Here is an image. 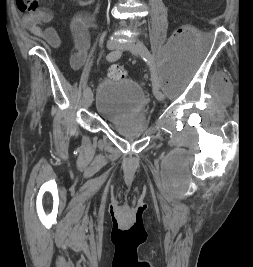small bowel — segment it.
Returning a JSON list of instances; mask_svg holds the SVG:
<instances>
[{
    "instance_id": "obj_1",
    "label": "small bowel",
    "mask_w": 253,
    "mask_h": 267,
    "mask_svg": "<svg viewBox=\"0 0 253 267\" xmlns=\"http://www.w3.org/2000/svg\"><path fill=\"white\" fill-rule=\"evenodd\" d=\"M93 2L94 0H78L77 3L80 6H88ZM52 19L53 13L49 9H44L37 13L25 15L22 23L32 35L57 49L61 45V40L55 28L50 25ZM98 28L99 23L93 13L82 11L71 18L70 30L76 48V52L71 57L73 68L78 69L84 64L93 43L90 30H97Z\"/></svg>"
}]
</instances>
